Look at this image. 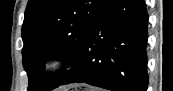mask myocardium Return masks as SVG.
Returning <instances> with one entry per match:
<instances>
[{
	"instance_id": "myocardium-1",
	"label": "myocardium",
	"mask_w": 173,
	"mask_h": 91,
	"mask_svg": "<svg viewBox=\"0 0 173 91\" xmlns=\"http://www.w3.org/2000/svg\"><path fill=\"white\" fill-rule=\"evenodd\" d=\"M67 67L66 58L58 53L47 55L41 64L42 72L47 77H52L63 72Z\"/></svg>"
}]
</instances>
